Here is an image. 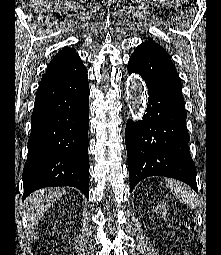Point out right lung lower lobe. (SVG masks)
<instances>
[{
  "label": "right lung lower lobe",
  "instance_id": "obj_1",
  "mask_svg": "<svg viewBox=\"0 0 221 255\" xmlns=\"http://www.w3.org/2000/svg\"><path fill=\"white\" fill-rule=\"evenodd\" d=\"M88 115V76L79 56L43 75L31 117L23 200L52 186H73L88 197Z\"/></svg>",
  "mask_w": 221,
  "mask_h": 255
}]
</instances>
